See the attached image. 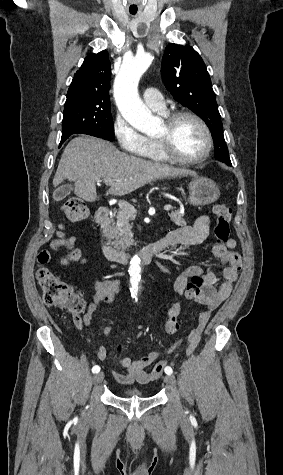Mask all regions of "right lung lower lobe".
<instances>
[{"mask_svg": "<svg viewBox=\"0 0 283 475\" xmlns=\"http://www.w3.org/2000/svg\"><path fill=\"white\" fill-rule=\"evenodd\" d=\"M69 136H70V134H68V135H62L60 146L62 145L63 142H65V141L67 140V138H68Z\"/></svg>", "mask_w": 283, "mask_h": 475, "instance_id": "1", "label": "right lung lower lobe"}]
</instances>
